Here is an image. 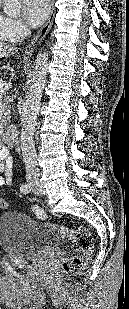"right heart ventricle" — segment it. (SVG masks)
Returning <instances> with one entry per match:
<instances>
[{
  "label": "right heart ventricle",
  "instance_id": "e07e8e85",
  "mask_svg": "<svg viewBox=\"0 0 129 309\" xmlns=\"http://www.w3.org/2000/svg\"><path fill=\"white\" fill-rule=\"evenodd\" d=\"M9 18L0 12V43H8L16 41L10 35L8 30Z\"/></svg>",
  "mask_w": 129,
  "mask_h": 309
}]
</instances>
